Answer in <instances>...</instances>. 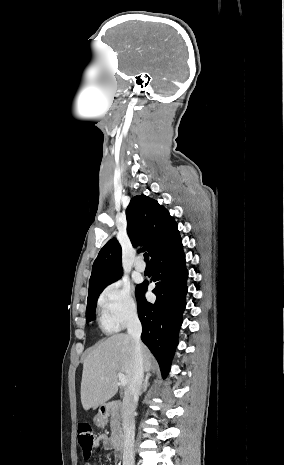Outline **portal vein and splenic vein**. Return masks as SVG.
<instances>
[{"instance_id":"obj_1","label":"portal vein and splenic vein","mask_w":284,"mask_h":465,"mask_svg":"<svg viewBox=\"0 0 284 465\" xmlns=\"http://www.w3.org/2000/svg\"><path fill=\"white\" fill-rule=\"evenodd\" d=\"M117 375L119 377L120 385H122V387H126L127 385L126 375H123V373H117Z\"/></svg>"}]
</instances>
